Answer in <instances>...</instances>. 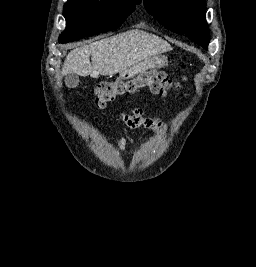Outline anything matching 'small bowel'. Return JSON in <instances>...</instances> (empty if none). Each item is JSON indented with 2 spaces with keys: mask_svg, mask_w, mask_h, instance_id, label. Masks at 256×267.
Returning <instances> with one entry per match:
<instances>
[{
  "mask_svg": "<svg viewBox=\"0 0 256 267\" xmlns=\"http://www.w3.org/2000/svg\"><path fill=\"white\" fill-rule=\"evenodd\" d=\"M120 119L130 128H138L141 126L152 129L156 134H162L166 130V123L157 118L147 117L141 109H135L130 113H124ZM116 146L119 150H123L125 140L118 137Z\"/></svg>",
  "mask_w": 256,
  "mask_h": 267,
  "instance_id": "obj_1",
  "label": "small bowel"
}]
</instances>
